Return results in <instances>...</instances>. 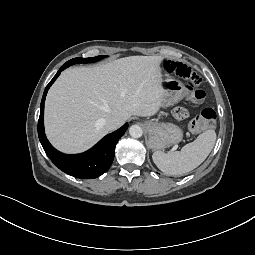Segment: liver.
I'll list each match as a JSON object with an SVG mask.
<instances>
[{
  "label": "liver",
  "mask_w": 255,
  "mask_h": 255,
  "mask_svg": "<svg viewBox=\"0 0 255 255\" xmlns=\"http://www.w3.org/2000/svg\"><path fill=\"white\" fill-rule=\"evenodd\" d=\"M162 56H130L97 67L70 68L50 88L45 131L60 151L87 150L108 130L107 118L124 124L132 115H155L163 105Z\"/></svg>",
  "instance_id": "liver-1"
}]
</instances>
